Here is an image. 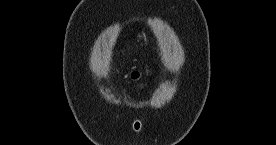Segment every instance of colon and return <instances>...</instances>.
I'll return each instance as SVG.
<instances>
[{
    "mask_svg": "<svg viewBox=\"0 0 276 145\" xmlns=\"http://www.w3.org/2000/svg\"><path fill=\"white\" fill-rule=\"evenodd\" d=\"M131 76L133 79H138L141 76V73L139 71H133Z\"/></svg>",
    "mask_w": 276,
    "mask_h": 145,
    "instance_id": "1",
    "label": "colon"
}]
</instances>
